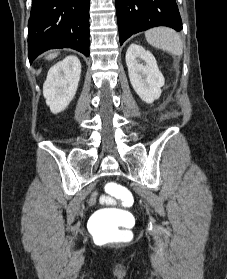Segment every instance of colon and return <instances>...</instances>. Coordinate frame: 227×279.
I'll use <instances>...</instances> for the list:
<instances>
[{"instance_id": "1", "label": "colon", "mask_w": 227, "mask_h": 279, "mask_svg": "<svg viewBox=\"0 0 227 279\" xmlns=\"http://www.w3.org/2000/svg\"><path fill=\"white\" fill-rule=\"evenodd\" d=\"M105 191L117 197L121 203H126L130 197V192L115 182L105 184ZM129 218L130 215L124 208L100 210L96 213L91 230L98 238L126 235L129 231L125 228V223Z\"/></svg>"}]
</instances>
